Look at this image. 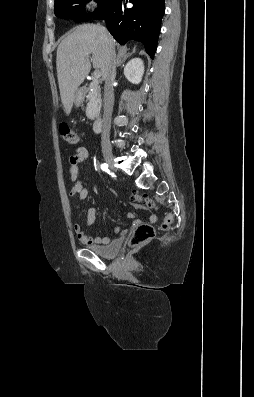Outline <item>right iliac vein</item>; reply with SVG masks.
<instances>
[{
	"instance_id": "obj_1",
	"label": "right iliac vein",
	"mask_w": 254,
	"mask_h": 397,
	"mask_svg": "<svg viewBox=\"0 0 254 397\" xmlns=\"http://www.w3.org/2000/svg\"><path fill=\"white\" fill-rule=\"evenodd\" d=\"M104 159L107 162V164L114 169V157L112 155V153L110 152H106L104 153Z\"/></svg>"
}]
</instances>
